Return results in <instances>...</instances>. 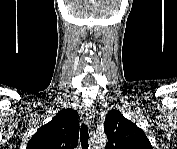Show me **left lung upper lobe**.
<instances>
[{
    "label": "left lung upper lobe",
    "instance_id": "left-lung-upper-lobe-1",
    "mask_svg": "<svg viewBox=\"0 0 177 149\" xmlns=\"http://www.w3.org/2000/svg\"><path fill=\"white\" fill-rule=\"evenodd\" d=\"M108 143L106 149H152L144 131L119 111L111 110L104 122Z\"/></svg>",
    "mask_w": 177,
    "mask_h": 149
}]
</instances>
